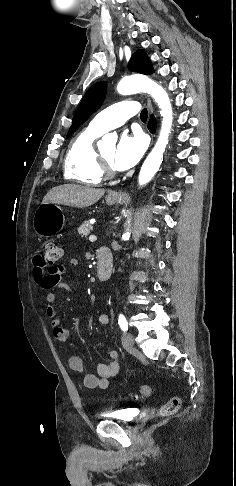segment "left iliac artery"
<instances>
[{
  "instance_id": "44dca946",
  "label": "left iliac artery",
  "mask_w": 236,
  "mask_h": 486,
  "mask_svg": "<svg viewBox=\"0 0 236 486\" xmlns=\"http://www.w3.org/2000/svg\"><path fill=\"white\" fill-rule=\"evenodd\" d=\"M118 324H119L121 330H123V331L128 330V323H127V320H126V318L123 314L119 315Z\"/></svg>"
}]
</instances>
